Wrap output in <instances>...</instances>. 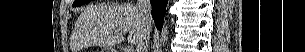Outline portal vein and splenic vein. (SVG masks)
<instances>
[{"label":"portal vein and splenic vein","mask_w":305,"mask_h":52,"mask_svg":"<svg viewBox=\"0 0 305 52\" xmlns=\"http://www.w3.org/2000/svg\"><path fill=\"white\" fill-rule=\"evenodd\" d=\"M126 52H133V50L131 48H127Z\"/></svg>","instance_id":"1"}]
</instances>
